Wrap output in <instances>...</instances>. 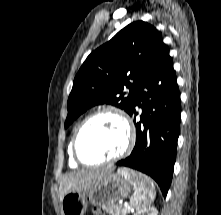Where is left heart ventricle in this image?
<instances>
[{"label": "left heart ventricle", "instance_id": "b2bd125f", "mask_svg": "<svg viewBox=\"0 0 221 215\" xmlns=\"http://www.w3.org/2000/svg\"><path fill=\"white\" fill-rule=\"evenodd\" d=\"M125 139V129L120 120L112 114H103L85 127L78 148L85 161L97 162L118 153Z\"/></svg>", "mask_w": 221, "mask_h": 215}]
</instances>
